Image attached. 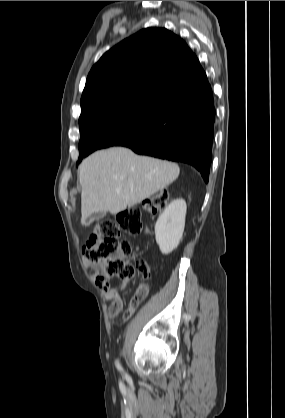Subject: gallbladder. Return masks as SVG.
Instances as JSON below:
<instances>
[{"label": "gallbladder", "instance_id": "obj_1", "mask_svg": "<svg viewBox=\"0 0 285 418\" xmlns=\"http://www.w3.org/2000/svg\"><path fill=\"white\" fill-rule=\"evenodd\" d=\"M106 216V212H96L89 215L85 220L82 221L83 225H90L95 220L103 219Z\"/></svg>", "mask_w": 285, "mask_h": 418}]
</instances>
